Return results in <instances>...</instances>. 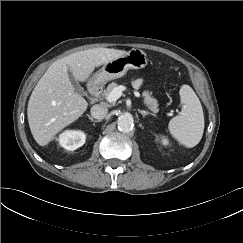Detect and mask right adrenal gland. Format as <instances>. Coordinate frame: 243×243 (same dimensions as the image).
Segmentation results:
<instances>
[{"label": "right adrenal gland", "mask_w": 243, "mask_h": 243, "mask_svg": "<svg viewBox=\"0 0 243 243\" xmlns=\"http://www.w3.org/2000/svg\"><path fill=\"white\" fill-rule=\"evenodd\" d=\"M87 116L92 122H96V123L99 122L98 120L93 119V117H91L89 114H87Z\"/></svg>", "instance_id": "right-adrenal-gland-1"}]
</instances>
